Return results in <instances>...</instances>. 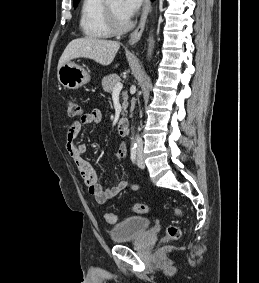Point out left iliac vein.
<instances>
[{
    "instance_id": "obj_1",
    "label": "left iliac vein",
    "mask_w": 259,
    "mask_h": 283,
    "mask_svg": "<svg viewBox=\"0 0 259 283\" xmlns=\"http://www.w3.org/2000/svg\"><path fill=\"white\" fill-rule=\"evenodd\" d=\"M137 165L139 168L144 169L145 165L143 162L142 154L139 152L137 157Z\"/></svg>"
}]
</instances>
